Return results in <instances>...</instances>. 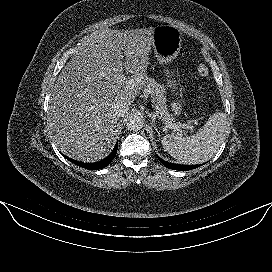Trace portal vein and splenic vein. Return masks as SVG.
I'll return each instance as SVG.
<instances>
[{
  "label": "portal vein and splenic vein",
  "mask_w": 272,
  "mask_h": 272,
  "mask_svg": "<svg viewBox=\"0 0 272 272\" xmlns=\"http://www.w3.org/2000/svg\"><path fill=\"white\" fill-rule=\"evenodd\" d=\"M152 102L154 103L153 107L155 109V114L157 117L160 118L159 116V107L158 105L155 104V101H154V97L152 99ZM161 119V118H160ZM166 126L170 129H174L175 131H179V132H182L180 129L181 128H184V129H187V130H190L191 132H193L194 130V127L190 124H168L167 122H165Z\"/></svg>",
  "instance_id": "portal-vein-and-splenic-vein-1"
}]
</instances>
